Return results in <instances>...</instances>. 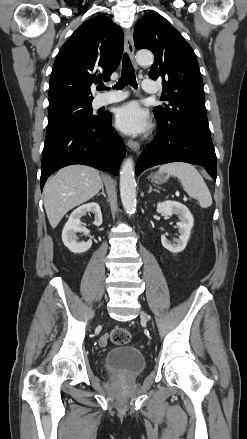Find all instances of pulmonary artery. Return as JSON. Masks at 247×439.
Returning <instances> with one entry per match:
<instances>
[{
	"label": "pulmonary artery",
	"mask_w": 247,
	"mask_h": 439,
	"mask_svg": "<svg viewBox=\"0 0 247 439\" xmlns=\"http://www.w3.org/2000/svg\"><path fill=\"white\" fill-rule=\"evenodd\" d=\"M142 87H143V90L149 94H154L158 91L157 83L151 79L143 80ZM124 98H125V95L123 93H114L111 95L101 97L98 100V105H100V106L108 105L111 103L121 101Z\"/></svg>",
	"instance_id": "pulmonary-artery-1"
}]
</instances>
